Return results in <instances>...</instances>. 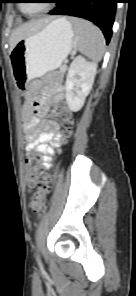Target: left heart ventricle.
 <instances>
[{
  "label": "left heart ventricle",
  "instance_id": "obj_1",
  "mask_svg": "<svg viewBox=\"0 0 136 296\" xmlns=\"http://www.w3.org/2000/svg\"><path fill=\"white\" fill-rule=\"evenodd\" d=\"M25 5L30 12H37L43 9L47 5V3L31 0L28 1V3H26Z\"/></svg>",
  "mask_w": 136,
  "mask_h": 296
}]
</instances>
